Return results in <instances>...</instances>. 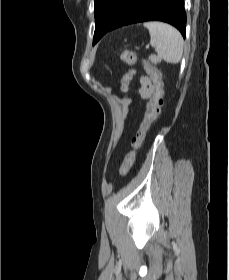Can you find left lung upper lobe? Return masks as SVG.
<instances>
[{
  "instance_id": "left-lung-upper-lobe-1",
  "label": "left lung upper lobe",
  "mask_w": 229,
  "mask_h": 280,
  "mask_svg": "<svg viewBox=\"0 0 229 280\" xmlns=\"http://www.w3.org/2000/svg\"><path fill=\"white\" fill-rule=\"evenodd\" d=\"M130 0H95L94 39H100L121 17Z\"/></svg>"
}]
</instances>
